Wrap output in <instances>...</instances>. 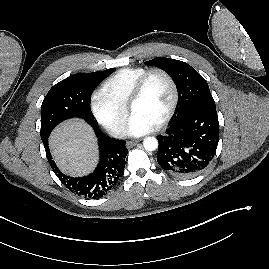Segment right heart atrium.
Listing matches in <instances>:
<instances>
[{
    "instance_id": "right-heart-atrium-1",
    "label": "right heart atrium",
    "mask_w": 269,
    "mask_h": 269,
    "mask_svg": "<svg viewBox=\"0 0 269 269\" xmlns=\"http://www.w3.org/2000/svg\"><path fill=\"white\" fill-rule=\"evenodd\" d=\"M90 108L95 119L112 135L125 134L127 111L117 105L102 90H96L90 99Z\"/></svg>"
}]
</instances>
